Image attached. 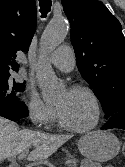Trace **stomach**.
<instances>
[{"label":"stomach","instance_id":"obj_1","mask_svg":"<svg viewBox=\"0 0 125 167\" xmlns=\"http://www.w3.org/2000/svg\"><path fill=\"white\" fill-rule=\"evenodd\" d=\"M78 148L88 160L105 162L118 154L120 142L108 131H94L80 138Z\"/></svg>","mask_w":125,"mask_h":167}]
</instances>
